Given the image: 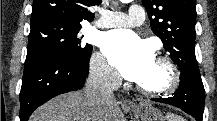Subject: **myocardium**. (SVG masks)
<instances>
[{
	"mask_svg": "<svg viewBox=\"0 0 217 121\" xmlns=\"http://www.w3.org/2000/svg\"><path fill=\"white\" fill-rule=\"evenodd\" d=\"M155 61L165 68V81L157 87H149L137 83L136 88L143 95L150 97H162L174 93L179 88L181 83V74L177 64L168 56H158Z\"/></svg>",
	"mask_w": 217,
	"mask_h": 121,
	"instance_id": "1",
	"label": "myocardium"
}]
</instances>
